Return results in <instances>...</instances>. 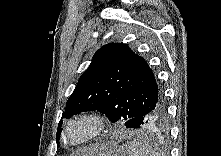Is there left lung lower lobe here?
I'll use <instances>...</instances> for the list:
<instances>
[{
  "label": "left lung lower lobe",
  "mask_w": 221,
  "mask_h": 156,
  "mask_svg": "<svg viewBox=\"0 0 221 156\" xmlns=\"http://www.w3.org/2000/svg\"><path fill=\"white\" fill-rule=\"evenodd\" d=\"M124 125L126 128H135L140 130L168 131V110L163 92L161 99L155 107L150 108L143 114L127 120Z\"/></svg>",
  "instance_id": "1"
}]
</instances>
